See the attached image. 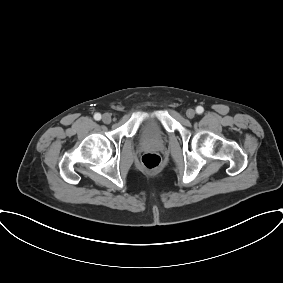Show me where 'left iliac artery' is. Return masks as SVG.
I'll use <instances>...</instances> for the list:
<instances>
[{"instance_id":"1","label":"left iliac artery","mask_w":283,"mask_h":283,"mask_svg":"<svg viewBox=\"0 0 283 283\" xmlns=\"http://www.w3.org/2000/svg\"><path fill=\"white\" fill-rule=\"evenodd\" d=\"M203 111H204V108H203L202 106H198V107L196 108V112H197L198 114L203 113Z\"/></svg>"}]
</instances>
